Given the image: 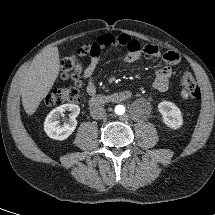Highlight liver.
I'll return each instance as SVG.
<instances>
[{
	"instance_id": "6515ba94",
	"label": "liver",
	"mask_w": 215,
	"mask_h": 215,
	"mask_svg": "<svg viewBox=\"0 0 215 215\" xmlns=\"http://www.w3.org/2000/svg\"><path fill=\"white\" fill-rule=\"evenodd\" d=\"M59 70V52L54 46L44 48L30 66L21 73L18 85L22 105L28 115L35 113L40 102L49 93L58 77Z\"/></svg>"
}]
</instances>
